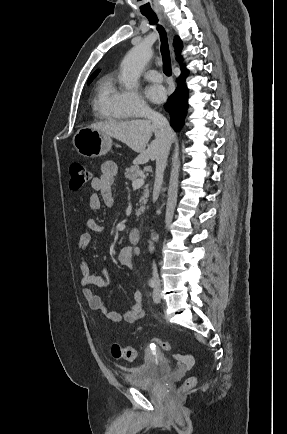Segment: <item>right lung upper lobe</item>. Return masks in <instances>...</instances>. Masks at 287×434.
<instances>
[{
  "label": "right lung upper lobe",
  "mask_w": 287,
  "mask_h": 434,
  "mask_svg": "<svg viewBox=\"0 0 287 434\" xmlns=\"http://www.w3.org/2000/svg\"><path fill=\"white\" fill-rule=\"evenodd\" d=\"M174 48H175V52H176V53H179V54L181 53V50H182V41L180 40V38H179L178 36H176L175 39H174ZM179 62H180V63L182 62V57H181V56L179 57ZM99 71H100V70L95 71V72L90 76L88 82H89V81H92V80L97 76V74L99 73Z\"/></svg>",
  "instance_id": "1"
}]
</instances>
